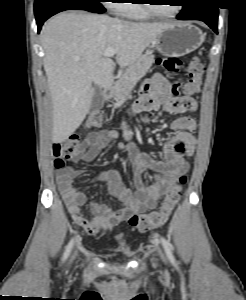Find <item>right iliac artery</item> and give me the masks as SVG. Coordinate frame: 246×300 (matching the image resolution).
<instances>
[{"mask_svg":"<svg viewBox=\"0 0 246 300\" xmlns=\"http://www.w3.org/2000/svg\"><path fill=\"white\" fill-rule=\"evenodd\" d=\"M72 247H73V239L68 243V245L66 247V251L64 252V255H63V260H65L69 256Z\"/></svg>","mask_w":246,"mask_h":300,"instance_id":"82829eb1","label":"right iliac artery"}]
</instances>
